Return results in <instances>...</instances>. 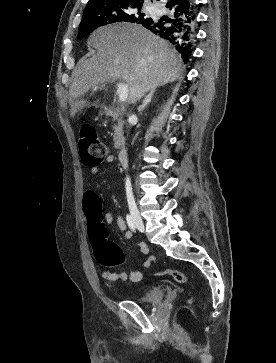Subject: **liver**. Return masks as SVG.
<instances>
[{
  "mask_svg": "<svg viewBox=\"0 0 276 363\" xmlns=\"http://www.w3.org/2000/svg\"><path fill=\"white\" fill-rule=\"evenodd\" d=\"M88 46L96 49L82 58L73 73L70 87V115L90 105L79 100L91 88L119 79L128 85V102L135 103L148 91L180 78V56L160 37L141 25L116 23L97 29Z\"/></svg>",
  "mask_w": 276,
  "mask_h": 363,
  "instance_id": "obj_1",
  "label": "liver"
}]
</instances>
